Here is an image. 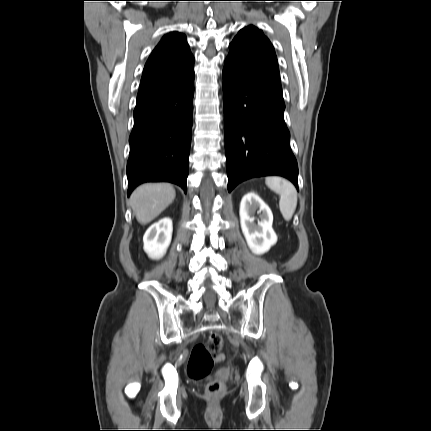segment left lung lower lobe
<instances>
[{"label": "left lung lower lobe", "mask_w": 431, "mask_h": 431, "mask_svg": "<svg viewBox=\"0 0 431 431\" xmlns=\"http://www.w3.org/2000/svg\"><path fill=\"white\" fill-rule=\"evenodd\" d=\"M223 107L228 191L268 175L283 176L298 190L282 94L223 69Z\"/></svg>", "instance_id": "obj_1"}]
</instances>
